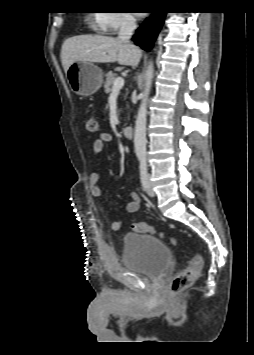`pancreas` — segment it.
<instances>
[{"mask_svg": "<svg viewBox=\"0 0 254 355\" xmlns=\"http://www.w3.org/2000/svg\"><path fill=\"white\" fill-rule=\"evenodd\" d=\"M105 76L106 80L104 82V89L106 93H110L112 91L113 83L116 78H118V75L110 71Z\"/></svg>", "mask_w": 254, "mask_h": 355, "instance_id": "pancreas-1", "label": "pancreas"}]
</instances>
